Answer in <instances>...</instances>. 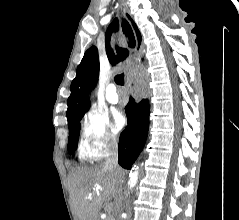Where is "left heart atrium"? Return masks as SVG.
Listing matches in <instances>:
<instances>
[{
	"label": "left heart atrium",
	"mask_w": 239,
	"mask_h": 220,
	"mask_svg": "<svg viewBox=\"0 0 239 220\" xmlns=\"http://www.w3.org/2000/svg\"><path fill=\"white\" fill-rule=\"evenodd\" d=\"M113 121H114L113 123L114 132H118L124 126L125 123L124 117L119 112H115L113 114Z\"/></svg>",
	"instance_id": "obj_1"
}]
</instances>
